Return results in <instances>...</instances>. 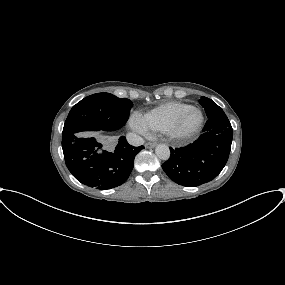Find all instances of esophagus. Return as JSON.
Segmentation results:
<instances>
[{"label": "esophagus", "instance_id": "1", "mask_svg": "<svg viewBox=\"0 0 285 285\" xmlns=\"http://www.w3.org/2000/svg\"><path fill=\"white\" fill-rule=\"evenodd\" d=\"M146 148H154L156 146V143L155 142H147L145 144Z\"/></svg>", "mask_w": 285, "mask_h": 285}]
</instances>
